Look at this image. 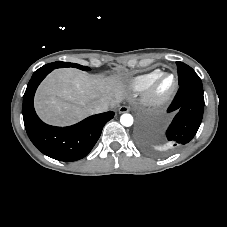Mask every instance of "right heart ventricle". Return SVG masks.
<instances>
[{
	"instance_id": "e07e8e85",
	"label": "right heart ventricle",
	"mask_w": 227,
	"mask_h": 227,
	"mask_svg": "<svg viewBox=\"0 0 227 227\" xmlns=\"http://www.w3.org/2000/svg\"><path fill=\"white\" fill-rule=\"evenodd\" d=\"M161 74V70L156 69L148 73L137 75L129 80L128 86L132 91L146 90L151 83Z\"/></svg>"
}]
</instances>
